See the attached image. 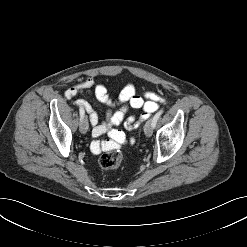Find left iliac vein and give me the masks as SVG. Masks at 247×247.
I'll return each instance as SVG.
<instances>
[{"label": "left iliac vein", "mask_w": 247, "mask_h": 247, "mask_svg": "<svg viewBox=\"0 0 247 247\" xmlns=\"http://www.w3.org/2000/svg\"><path fill=\"white\" fill-rule=\"evenodd\" d=\"M144 133L147 137H151L153 133V119H150L146 122L144 126Z\"/></svg>", "instance_id": "left-iliac-vein-1"}]
</instances>
